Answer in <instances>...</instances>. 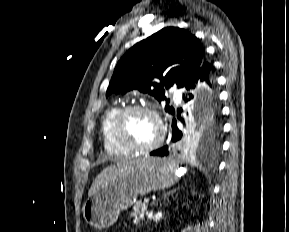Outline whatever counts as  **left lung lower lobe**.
Wrapping results in <instances>:
<instances>
[{
	"label": "left lung lower lobe",
	"instance_id": "1",
	"mask_svg": "<svg viewBox=\"0 0 289 232\" xmlns=\"http://www.w3.org/2000/svg\"><path fill=\"white\" fill-rule=\"evenodd\" d=\"M198 80L205 82V84L209 87L211 96L214 100V102L217 99V94H216V90H215V78H214V68L212 66V64L206 59L204 58L203 63L201 64L200 68L197 70V72L195 73V75L193 76V78L190 80V82H188L184 88H186L188 91L192 90L195 87V82H197ZM184 100L187 102L188 100H191L193 98V95L191 93H188L185 96H183ZM218 113V116L220 118V111L219 108L216 107V105H214L213 110H211L209 116H212ZM183 138V133L182 131H180L177 127V123L176 120L173 119L172 122V142L175 143L170 147V150H180V151H186L183 148L182 145V140ZM169 154L168 151V146H164L158 150L152 151L150 153V155L152 156H167Z\"/></svg>",
	"mask_w": 289,
	"mask_h": 232
}]
</instances>
